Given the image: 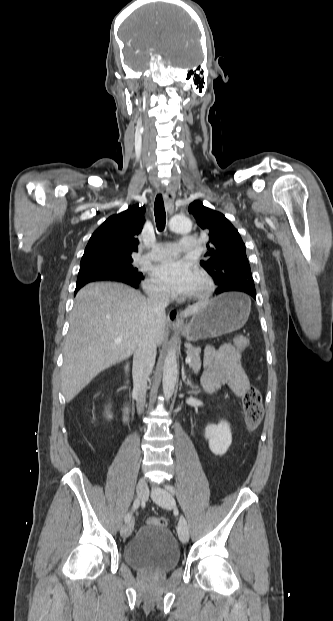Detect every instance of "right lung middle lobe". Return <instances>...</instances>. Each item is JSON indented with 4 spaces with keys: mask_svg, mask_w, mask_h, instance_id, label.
Segmentation results:
<instances>
[{
    "mask_svg": "<svg viewBox=\"0 0 333 621\" xmlns=\"http://www.w3.org/2000/svg\"><path fill=\"white\" fill-rule=\"evenodd\" d=\"M132 262L130 256L84 258L81 259L78 276L102 274L135 280L142 278V273L132 266Z\"/></svg>",
    "mask_w": 333,
    "mask_h": 621,
    "instance_id": "1",
    "label": "right lung middle lobe"
}]
</instances>
